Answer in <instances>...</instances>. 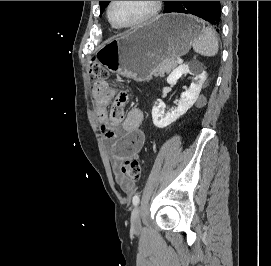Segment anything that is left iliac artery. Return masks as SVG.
I'll return each mask as SVG.
<instances>
[{"label":"left iliac artery","instance_id":"1","mask_svg":"<svg viewBox=\"0 0 271 266\" xmlns=\"http://www.w3.org/2000/svg\"><path fill=\"white\" fill-rule=\"evenodd\" d=\"M140 199H139V196L138 195H135L132 199V203L134 206L138 205Z\"/></svg>","mask_w":271,"mask_h":266}]
</instances>
